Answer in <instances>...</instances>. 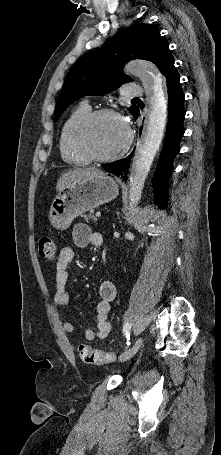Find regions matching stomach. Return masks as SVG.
<instances>
[{"label": "stomach", "mask_w": 221, "mask_h": 455, "mask_svg": "<svg viewBox=\"0 0 221 455\" xmlns=\"http://www.w3.org/2000/svg\"><path fill=\"white\" fill-rule=\"evenodd\" d=\"M119 194L117 181L105 174L81 179L64 187L53 200L49 219L58 230H66L79 215L110 202Z\"/></svg>", "instance_id": "stomach-1"}]
</instances>
